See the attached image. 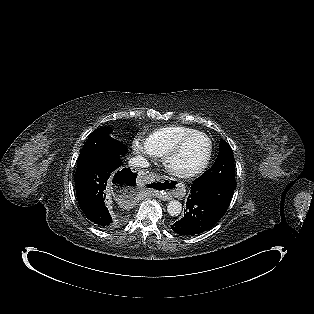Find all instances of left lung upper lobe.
Wrapping results in <instances>:
<instances>
[{
    "instance_id": "5c2ea615",
    "label": "left lung upper lobe",
    "mask_w": 314,
    "mask_h": 314,
    "mask_svg": "<svg viewBox=\"0 0 314 314\" xmlns=\"http://www.w3.org/2000/svg\"><path fill=\"white\" fill-rule=\"evenodd\" d=\"M220 150L213 166L195 181H235L234 155L230 145L220 141Z\"/></svg>"
}]
</instances>
